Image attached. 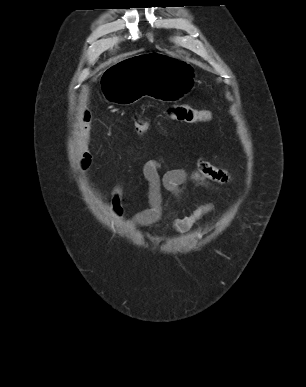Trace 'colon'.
<instances>
[{
    "mask_svg": "<svg viewBox=\"0 0 306 387\" xmlns=\"http://www.w3.org/2000/svg\"><path fill=\"white\" fill-rule=\"evenodd\" d=\"M171 119L186 123H204L210 120L211 114L208 110L192 107L189 105H174L168 109ZM134 129L138 136L143 137L149 129V121L141 112L133 116Z\"/></svg>",
    "mask_w": 306,
    "mask_h": 387,
    "instance_id": "obj_1",
    "label": "colon"
}]
</instances>
